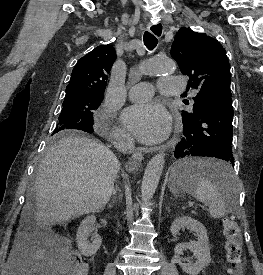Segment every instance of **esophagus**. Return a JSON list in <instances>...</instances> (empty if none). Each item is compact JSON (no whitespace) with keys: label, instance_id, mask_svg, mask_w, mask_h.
Masks as SVG:
<instances>
[{"label":"esophagus","instance_id":"esophagus-1","mask_svg":"<svg viewBox=\"0 0 263 275\" xmlns=\"http://www.w3.org/2000/svg\"><path fill=\"white\" fill-rule=\"evenodd\" d=\"M147 30L149 32H151L153 35H155L157 38H161L164 32V27L161 23H157V24H149L147 26ZM143 150L146 151H151L154 150L153 148H149V149H142V148H138L132 155V159L135 162H141L143 159ZM136 168V164L133 165V169Z\"/></svg>","mask_w":263,"mask_h":275}]
</instances>
